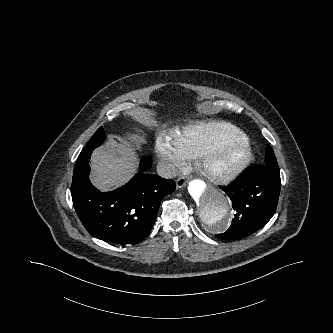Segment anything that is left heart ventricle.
<instances>
[{
  "mask_svg": "<svg viewBox=\"0 0 333 333\" xmlns=\"http://www.w3.org/2000/svg\"><path fill=\"white\" fill-rule=\"evenodd\" d=\"M240 155V146L232 145L219 152L214 159V168L224 169L234 163Z\"/></svg>",
  "mask_w": 333,
  "mask_h": 333,
  "instance_id": "obj_1",
  "label": "left heart ventricle"
}]
</instances>
